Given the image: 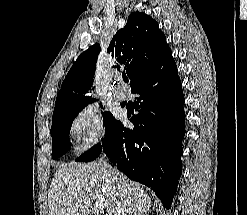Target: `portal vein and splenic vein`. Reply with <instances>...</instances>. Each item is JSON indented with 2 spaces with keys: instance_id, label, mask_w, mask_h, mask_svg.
<instances>
[{
  "instance_id": "1",
  "label": "portal vein and splenic vein",
  "mask_w": 247,
  "mask_h": 215,
  "mask_svg": "<svg viewBox=\"0 0 247 215\" xmlns=\"http://www.w3.org/2000/svg\"><path fill=\"white\" fill-rule=\"evenodd\" d=\"M95 206L99 209H104L105 208L104 201L101 199L96 200Z\"/></svg>"
}]
</instances>
